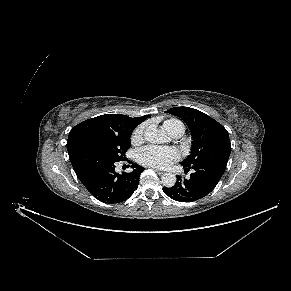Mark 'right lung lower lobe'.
<instances>
[{"label":"right lung lower lobe","mask_w":291,"mask_h":291,"mask_svg":"<svg viewBox=\"0 0 291 291\" xmlns=\"http://www.w3.org/2000/svg\"><path fill=\"white\" fill-rule=\"evenodd\" d=\"M73 169L86 189L99 201L119 203L127 200L137 189L143 167L132 164L130 173L115 172L119 162L93 151H81L69 157Z\"/></svg>","instance_id":"1"}]
</instances>
